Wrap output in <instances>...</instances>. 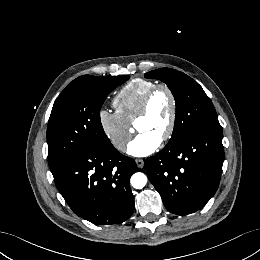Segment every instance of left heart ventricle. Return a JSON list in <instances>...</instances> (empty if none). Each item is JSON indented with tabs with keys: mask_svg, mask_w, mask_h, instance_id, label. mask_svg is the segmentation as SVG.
<instances>
[{
	"mask_svg": "<svg viewBox=\"0 0 260 260\" xmlns=\"http://www.w3.org/2000/svg\"><path fill=\"white\" fill-rule=\"evenodd\" d=\"M171 101L168 94L161 90L152 99L148 114L135 124L137 132L150 133L161 140L168 127Z\"/></svg>",
	"mask_w": 260,
	"mask_h": 260,
	"instance_id": "left-heart-ventricle-1",
	"label": "left heart ventricle"
}]
</instances>
